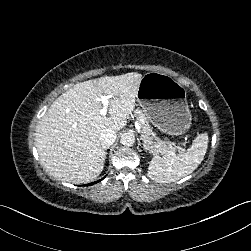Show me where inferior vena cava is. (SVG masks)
Wrapping results in <instances>:
<instances>
[{
  "label": "inferior vena cava",
  "instance_id": "inferior-vena-cava-1",
  "mask_svg": "<svg viewBox=\"0 0 251 251\" xmlns=\"http://www.w3.org/2000/svg\"><path fill=\"white\" fill-rule=\"evenodd\" d=\"M99 140H100L101 146L103 148H108L109 146H111L115 142L116 133H115V131H113L111 129H104L100 133Z\"/></svg>",
  "mask_w": 251,
  "mask_h": 251
}]
</instances>
